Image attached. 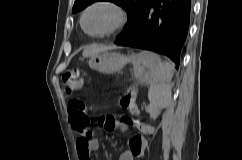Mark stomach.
<instances>
[{"label": "stomach", "instance_id": "obj_1", "mask_svg": "<svg viewBox=\"0 0 242 160\" xmlns=\"http://www.w3.org/2000/svg\"><path fill=\"white\" fill-rule=\"evenodd\" d=\"M150 52L123 55L115 52H104L91 58L89 67L102 73H114L121 70L127 63H132L136 78L148 83L152 78Z\"/></svg>", "mask_w": 242, "mask_h": 160}]
</instances>
